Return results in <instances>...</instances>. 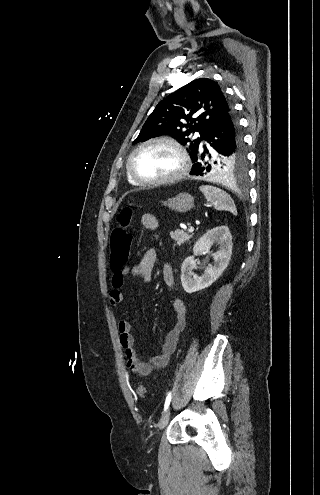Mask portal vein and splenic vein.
<instances>
[{
  "instance_id": "portal-vein-and-splenic-vein-1",
  "label": "portal vein and splenic vein",
  "mask_w": 320,
  "mask_h": 495,
  "mask_svg": "<svg viewBox=\"0 0 320 495\" xmlns=\"http://www.w3.org/2000/svg\"><path fill=\"white\" fill-rule=\"evenodd\" d=\"M194 231V227H190V229L188 230L189 233H192Z\"/></svg>"
}]
</instances>
